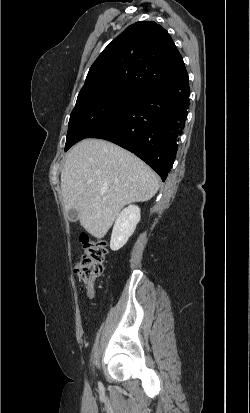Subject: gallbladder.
<instances>
[{"mask_svg":"<svg viewBox=\"0 0 250 413\" xmlns=\"http://www.w3.org/2000/svg\"><path fill=\"white\" fill-rule=\"evenodd\" d=\"M67 215H68V219H69L71 222H76V221L78 220V218H79V213H78V211L75 210V209H70V210L67 212Z\"/></svg>","mask_w":250,"mask_h":413,"instance_id":"gallbladder-1","label":"gallbladder"}]
</instances>
